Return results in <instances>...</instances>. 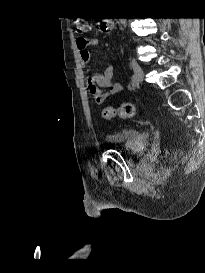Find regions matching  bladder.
Listing matches in <instances>:
<instances>
[{
	"mask_svg": "<svg viewBox=\"0 0 205 273\" xmlns=\"http://www.w3.org/2000/svg\"><path fill=\"white\" fill-rule=\"evenodd\" d=\"M105 140L114 148L132 155L141 154L148 148L147 134L134 128L109 131L105 134Z\"/></svg>",
	"mask_w": 205,
	"mask_h": 273,
	"instance_id": "31cf9c89",
	"label": "bladder"
}]
</instances>
